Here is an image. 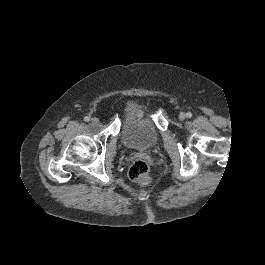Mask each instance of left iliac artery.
<instances>
[{"label": "left iliac artery", "mask_w": 265, "mask_h": 265, "mask_svg": "<svg viewBox=\"0 0 265 265\" xmlns=\"http://www.w3.org/2000/svg\"><path fill=\"white\" fill-rule=\"evenodd\" d=\"M186 116H187V118H191L192 117V113L191 112H187Z\"/></svg>", "instance_id": "44dca946"}]
</instances>
